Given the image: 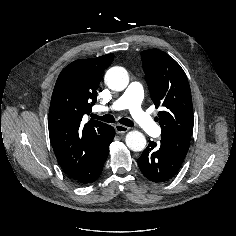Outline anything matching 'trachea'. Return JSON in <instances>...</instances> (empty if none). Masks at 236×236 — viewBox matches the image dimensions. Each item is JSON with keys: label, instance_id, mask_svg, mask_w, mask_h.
<instances>
[{"label": "trachea", "instance_id": "1", "mask_svg": "<svg viewBox=\"0 0 236 236\" xmlns=\"http://www.w3.org/2000/svg\"><path fill=\"white\" fill-rule=\"evenodd\" d=\"M91 117L93 119H98V120H101L103 122H107V123H115V118L112 116V115H104V116H98L96 114H92ZM119 122L125 126H128V127H133L134 126V123L130 120V119H127V118H121L119 120Z\"/></svg>", "mask_w": 236, "mask_h": 236}]
</instances>
